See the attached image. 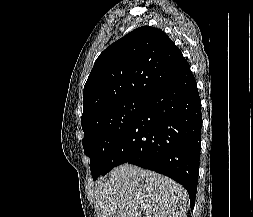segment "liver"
Wrapping results in <instances>:
<instances>
[{
	"mask_svg": "<svg viewBox=\"0 0 253 217\" xmlns=\"http://www.w3.org/2000/svg\"><path fill=\"white\" fill-rule=\"evenodd\" d=\"M98 217H186L188 193L166 176L131 164L97 181Z\"/></svg>",
	"mask_w": 253,
	"mask_h": 217,
	"instance_id": "1",
	"label": "liver"
}]
</instances>
